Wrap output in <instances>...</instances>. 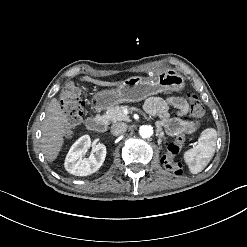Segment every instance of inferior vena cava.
I'll return each mask as SVG.
<instances>
[{
    "label": "inferior vena cava",
    "mask_w": 247,
    "mask_h": 247,
    "mask_svg": "<svg viewBox=\"0 0 247 247\" xmlns=\"http://www.w3.org/2000/svg\"><path fill=\"white\" fill-rule=\"evenodd\" d=\"M127 124L124 122H117L111 126V133L115 136L121 135L127 131Z\"/></svg>",
    "instance_id": "inferior-vena-cava-1"
}]
</instances>
